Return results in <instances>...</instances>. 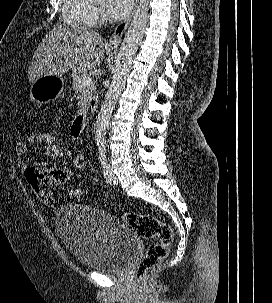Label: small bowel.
Segmentation results:
<instances>
[{"label":"small bowel","instance_id":"1","mask_svg":"<svg viewBox=\"0 0 272 303\" xmlns=\"http://www.w3.org/2000/svg\"><path fill=\"white\" fill-rule=\"evenodd\" d=\"M73 134L77 135L74 131ZM37 146H39V143L36 134L29 136L25 141H21L16 145L15 153L19 158L18 164L25 172L28 168L25 162L21 158L28 153L30 147H37ZM45 151L46 154L51 158H57L60 155L59 148L45 150ZM34 171L38 184L43 190H47L50 187L63 185L66 182H68L71 176V171L64 166L50 167L43 170H34Z\"/></svg>","mask_w":272,"mask_h":303}]
</instances>
